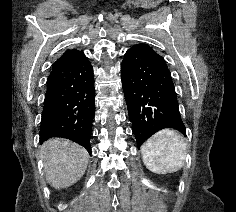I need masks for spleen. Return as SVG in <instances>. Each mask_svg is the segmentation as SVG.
Wrapping results in <instances>:
<instances>
[{
  "label": "spleen",
  "mask_w": 236,
  "mask_h": 212,
  "mask_svg": "<svg viewBox=\"0 0 236 212\" xmlns=\"http://www.w3.org/2000/svg\"><path fill=\"white\" fill-rule=\"evenodd\" d=\"M143 162L157 174L173 173L184 166L186 143L172 129H163L154 134L141 147Z\"/></svg>",
  "instance_id": "obj_1"
}]
</instances>
